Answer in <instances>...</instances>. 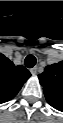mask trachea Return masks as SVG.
<instances>
[{
    "label": "trachea",
    "instance_id": "obj_1",
    "mask_svg": "<svg viewBox=\"0 0 63 123\" xmlns=\"http://www.w3.org/2000/svg\"><path fill=\"white\" fill-rule=\"evenodd\" d=\"M24 64L27 68H33L36 64V58L34 55H27L25 60H24Z\"/></svg>",
    "mask_w": 63,
    "mask_h": 123
}]
</instances>
